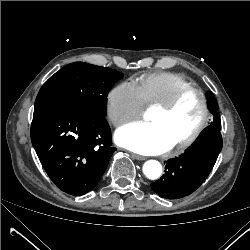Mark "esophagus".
<instances>
[{
    "instance_id": "obj_1",
    "label": "esophagus",
    "mask_w": 250,
    "mask_h": 250,
    "mask_svg": "<svg viewBox=\"0 0 250 250\" xmlns=\"http://www.w3.org/2000/svg\"><path fill=\"white\" fill-rule=\"evenodd\" d=\"M131 156H132V158H134V159H136V160H140V161L146 159V157L141 156V155H138V154H135V153H131Z\"/></svg>"
}]
</instances>
